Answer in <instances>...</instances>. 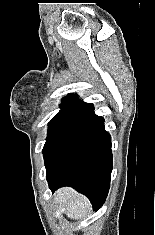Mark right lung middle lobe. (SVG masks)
Wrapping results in <instances>:
<instances>
[{
	"instance_id": "right-lung-middle-lobe-1",
	"label": "right lung middle lobe",
	"mask_w": 155,
	"mask_h": 235,
	"mask_svg": "<svg viewBox=\"0 0 155 235\" xmlns=\"http://www.w3.org/2000/svg\"><path fill=\"white\" fill-rule=\"evenodd\" d=\"M93 126L90 122L57 114L49 122L48 136L43 148L46 169L78 136Z\"/></svg>"
}]
</instances>
